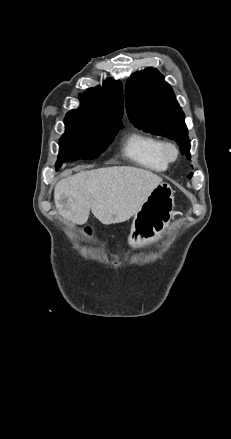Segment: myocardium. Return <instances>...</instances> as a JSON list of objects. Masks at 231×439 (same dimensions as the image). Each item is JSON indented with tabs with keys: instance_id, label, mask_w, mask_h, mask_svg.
<instances>
[{
	"instance_id": "f54148a6",
	"label": "myocardium",
	"mask_w": 231,
	"mask_h": 439,
	"mask_svg": "<svg viewBox=\"0 0 231 439\" xmlns=\"http://www.w3.org/2000/svg\"><path fill=\"white\" fill-rule=\"evenodd\" d=\"M162 153L168 163L175 162L180 154L179 147L172 141H164Z\"/></svg>"
}]
</instances>
